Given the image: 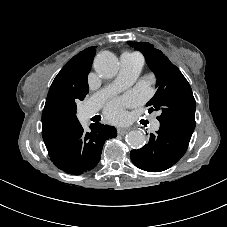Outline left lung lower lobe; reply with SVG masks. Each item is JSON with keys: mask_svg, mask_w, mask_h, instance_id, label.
I'll use <instances>...</instances> for the list:
<instances>
[{"mask_svg": "<svg viewBox=\"0 0 227 227\" xmlns=\"http://www.w3.org/2000/svg\"><path fill=\"white\" fill-rule=\"evenodd\" d=\"M194 128L175 121H160L156 133L141 149L132 150L130 157L138 168L149 172L164 171L185 154Z\"/></svg>", "mask_w": 227, "mask_h": 227, "instance_id": "1", "label": "left lung lower lobe"}]
</instances>
